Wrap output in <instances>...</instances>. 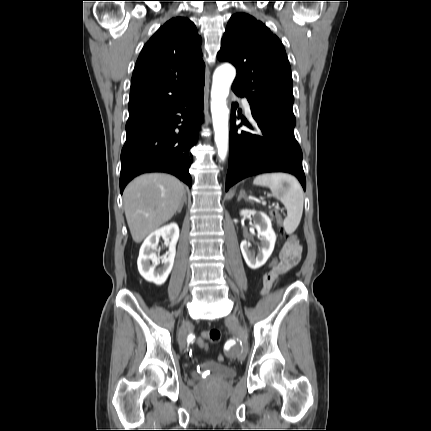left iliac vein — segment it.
Wrapping results in <instances>:
<instances>
[{"instance_id": "left-iliac-vein-1", "label": "left iliac vein", "mask_w": 431, "mask_h": 431, "mask_svg": "<svg viewBox=\"0 0 431 431\" xmlns=\"http://www.w3.org/2000/svg\"><path fill=\"white\" fill-rule=\"evenodd\" d=\"M227 323L231 326L238 327V320L234 315H230L227 318ZM237 334L243 342V347H242L241 352L238 355V360L243 361V360H245L247 353H248L247 334L242 329H237Z\"/></svg>"}]
</instances>
